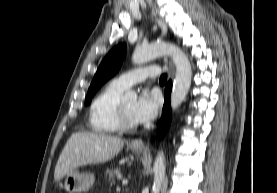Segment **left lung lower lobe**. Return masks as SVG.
<instances>
[{
  "label": "left lung lower lobe",
  "mask_w": 277,
  "mask_h": 193,
  "mask_svg": "<svg viewBox=\"0 0 277 193\" xmlns=\"http://www.w3.org/2000/svg\"><path fill=\"white\" fill-rule=\"evenodd\" d=\"M171 88H172V84L171 82H169L165 89L162 117L160 119V122L157 128V134L159 138H162L166 134L171 122V108H170Z\"/></svg>",
  "instance_id": "obj_1"
}]
</instances>
